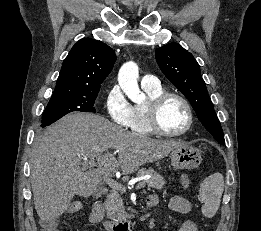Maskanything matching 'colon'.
<instances>
[{
  "label": "colon",
  "instance_id": "1",
  "mask_svg": "<svg viewBox=\"0 0 261 231\" xmlns=\"http://www.w3.org/2000/svg\"><path fill=\"white\" fill-rule=\"evenodd\" d=\"M81 209L82 204L80 202H72L67 208L63 210V214H77L81 211ZM40 231H58L56 221L54 219L40 220Z\"/></svg>",
  "mask_w": 261,
  "mask_h": 231
}]
</instances>
